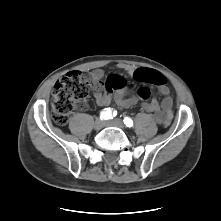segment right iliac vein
<instances>
[{
  "instance_id": "obj_1",
  "label": "right iliac vein",
  "mask_w": 221,
  "mask_h": 221,
  "mask_svg": "<svg viewBox=\"0 0 221 221\" xmlns=\"http://www.w3.org/2000/svg\"><path fill=\"white\" fill-rule=\"evenodd\" d=\"M105 126V122L102 119H96L94 122V128L96 130H101L102 128H104Z\"/></svg>"
}]
</instances>
